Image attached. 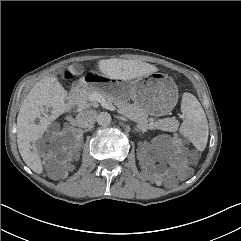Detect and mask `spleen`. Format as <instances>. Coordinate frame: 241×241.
<instances>
[{
	"instance_id": "obj_1",
	"label": "spleen",
	"mask_w": 241,
	"mask_h": 241,
	"mask_svg": "<svg viewBox=\"0 0 241 241\" xmlns=\"http://www.w3.org/2000/svg\"><path fill=\"white\" fill-rule=\"evenodd\" d=\"M181 111L185 118L180 126V133L187 137L197 150L203 151L208 141V121L204 110L191 93L182 95Z\"/></svg>"
}]
</instances>
